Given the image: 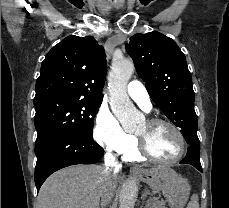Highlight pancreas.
I'll return each instance as SVG.
<instances>
[{
	"mask_svg": "<svg viewBox=\"0 0 229 208\" xmlns=\"http://www.w3.org/2000/svg\"><path fill=\"white\" fill-rule=\"evenodd\" d=\"M166 202L164 200H157V198H150L147 202L146 208H165Z\"/></svg>",
	"mask_w": 229,
	"mask_h": 208,
	"instance_id": "cf45deb5",
	"label": "pancreas"
}]
</instances>
